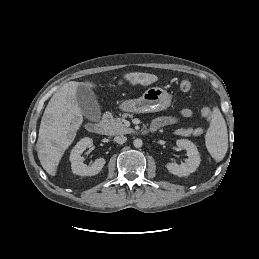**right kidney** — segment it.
Masks as SVG:
<instances>
[{
	"label": "right kidney",
	"mask_w": 259,
	"mask_h": 259,
	"mask_svg": "<svg viewBox=\"0 0 259 259\" xmlns=\"http://www.w3.org/2000/svg\"><path fill=\"white\" fill-rule=\"evenodd\" d=\"M93 146V140L89 137L81 139L72 149L70 154L72 172L80 176H93L98 174L104 167L106 161L104 158L97 159L91 166L83 163L82 153Z\"/></svg>",
	"instance_id": "1"
}]
</instances>
